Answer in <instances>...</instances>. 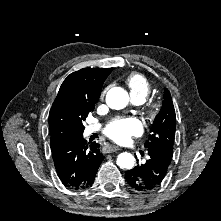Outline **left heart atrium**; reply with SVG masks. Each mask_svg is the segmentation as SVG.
<instances>
[{"label": "left heart atrium", "mask_w": 221, "mask_h": 221, "mask_svg": "<svg viewBox=\"0 0 221 221\" xmlns=\"http://www.w3.org/2000/svg\"><path fill=\"white\" fill-rule=\"evenodd\" d=\"M143 131L141 122L134 117L118 118L109 123L104 132L119 144L127 143L131 137L139 136Z\"/></svg>", "instance_id": "1"}]
</instances>
